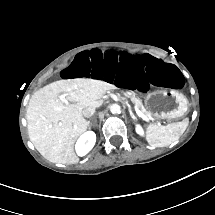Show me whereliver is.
<instances>
[{
	"mask_svg": "<svg viewBox=\"0 0 215 215\" xmlns=\"http://www.w3.org/2000/svg\"><path fill=\"white\" fill-rule=\"evenodd\" d=\"M112 88L101 80L72 78L38 89L30 98L26 116L29 139L38 152L51 162L77 163L73 144L87 123L82 110L99 107L103 93ZM60 93L72 104L64 105L57 98Z\"/></svg>",
	"mask_w": 215,
	"mask_h": 215,
	"instance_id": "6515ba94",
	"label": "liver"
}]
</instances>
